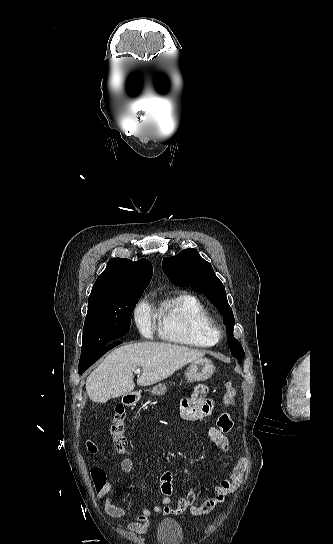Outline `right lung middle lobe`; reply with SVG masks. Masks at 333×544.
Here are the masks:
<instances>
[{"instance_id": "dd1d6c3e", "label": "right lung middle lobe", "mask_w": 333, "mask_h": 544, "mask_svg": "<svg viewBox=\"0 0 333 544\" xmlns=\"http://www.w3.org/2000/svg\"><path fill=\"white\" fill-rule=\"evenodd\" d=\"M142 293L89 302L79 368L105 354L115 344L112 340L130 330V317Z\"/></svg>"}]
</instances>
